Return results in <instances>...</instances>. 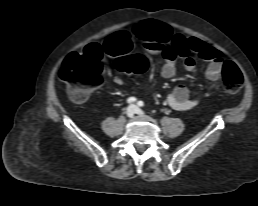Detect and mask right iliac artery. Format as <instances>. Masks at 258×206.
<instances>
[{"label":"right iliac artery","instance_id":"82829eb1","mask_svg":"<svg viewBox=\"0 0 258 206\" xmlns=\"http://www.w3.org/2000/svg\"><path fill=\"white\" fill-rule=\"evenodd\" d=\"M136 101V98L135 97H129L127 99V103H132V102H135Z\"/></svg>","mask_w":258,"mask_h":206}]
</instances>
